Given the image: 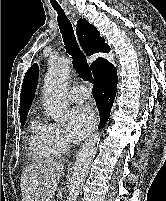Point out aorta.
<instances>
[{"label": "aorta", "instance_id": "obj_1", "mask_svg": "<svg viewBox=\"0 0 166 201\" xmlns=\"http://www.w3.org/2000/svg\"><path fill=\"white\" fill-rule=\"evenodd\" d=\"M70 60L58 58L50 63L44 78V100L48 115L56 122H64L68 113L66 98ZM100 137L95 136L86 142L79 151L67 201H77L81 188L89 174L90 165L98 150Z\"/></svg>", "mask_w": 166, "mask_h": 201}]
</instances>
